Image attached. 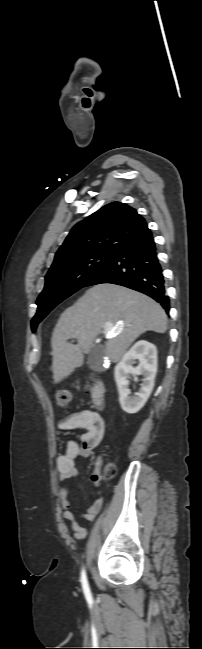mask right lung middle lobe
I'll return each mask as SVG.
<instances>
[{"mask_svg": "<svg viewBox=\"0 0 202 649\" xmlns=\"http://www.w3.org/2000/svg\"><path fill=\"white\" fill-rule=\"evenodd\" d=\"M115 252L89 251L54 264L45 277V287L37 299V313L31 321L32 331L61 301L85 286Z\"/></svg>", "mask_w": 202, "mask_h": 649, "instance_id": "dd1d6c3e", "label": "right lung middle lobe"}]
</instances>
